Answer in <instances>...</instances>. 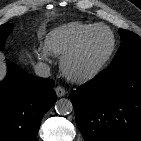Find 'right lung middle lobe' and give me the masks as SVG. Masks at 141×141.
<instances>
[{"instance_id":"obj_1","label":"right lung middle lobe","mask_w":141,"mask_h":141,"mask_svg":"<svg viewBox=\"0 0 141 141\" xmlns=\"http://www.w3.org/2000/svg\"><path fill=\"white\" fill-rule=\"evenodd\" d=\"M12 30H13L12 23H5L0 25V50L4 48L3 45L5 39L12 32Z\"/></svg>"}]
</instances>
